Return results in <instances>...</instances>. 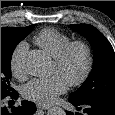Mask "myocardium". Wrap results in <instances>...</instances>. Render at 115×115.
<instances>
[{
    "mask_svg": "<svg viewBox=\"0 0 115 115\" xmlns=\"http://www.w3.org/2000/svg\"><path fill=\"white\" fill-rule=\"evenodd\" d=\"M82 50L85 56V67L82 73L74 79L67 81V84L71 87H78L82 85L90 76L94 66V54L92 47L85 41L75 40L71 41L60 53V55L54 60V64L58 70H63L76 50Z\"/></svg>",
    "mask_w": 115,
    "mask_h": 115,
    "instance_id": "myocardium-1",
    "label": "myocardium"
}]
</instances>
